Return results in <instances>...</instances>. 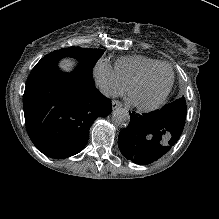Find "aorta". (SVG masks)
<instances>
[{
	"mask_svg": "<svg viewBox=\"0 0 219 219\" xmlns=\"http://www.w3.org/2000/svg\"><path fill=\"white\" fill-rule=\"evenodd\" d=\"M111 120L116 127H126L130 123L129 112L124 108H117L112 112Z\"/></svg>",
	"mask_w": 219,
	"mask_h": 219,
	"instance_id": "1",
	"label": "aorta"
}]
</instances>
